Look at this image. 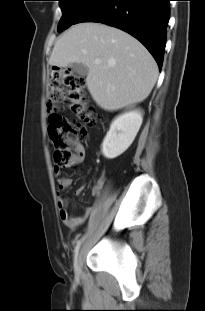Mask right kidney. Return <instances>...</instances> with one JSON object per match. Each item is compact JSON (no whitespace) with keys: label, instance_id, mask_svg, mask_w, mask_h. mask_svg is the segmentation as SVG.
I'll use <instances>...</instances> for the list:
<instances>
[{"label":"right kidney","instance_id":"obj_1","mask_svg":"<svg viewBox=\"0 0 205 311\" xmlns=\"http://www.w3.org/2000/svg\"><path fill=\"white\" fill-rule=\"evenodd\" d=\"M143 118L139 110H131L116 117L102 143V154L114 159L124 153L134 141Z\"/></svg>","mask_w":205,"mask_h":311}]
</instances>
